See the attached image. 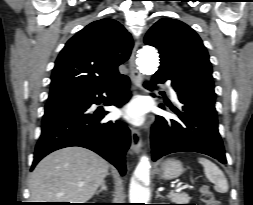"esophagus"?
Returning <instances> with one entry per match:
<instances>
[{
  "label": "esophagus",
  "instance_id": "1",
  "mask_svg": "<svg viewBox=\"0 0 253 205\" xmlns=\"http://www.w3.org/2000/svg\"><path fill=\"white\" fill-rule=\"evenodd\" d=\"M140 45V42L137 41L133 47L130 59H129V70H130V78L135 87H140L141 84V75L139 71L137 70L136 66V57H137V50ZM142 136L141 133L135 129L132 128L131 130V150L137 154L141 152L142 149Z\"/></svg>",
  "mask_w": 253,
  "mask_h": 205
}]
</instances>
